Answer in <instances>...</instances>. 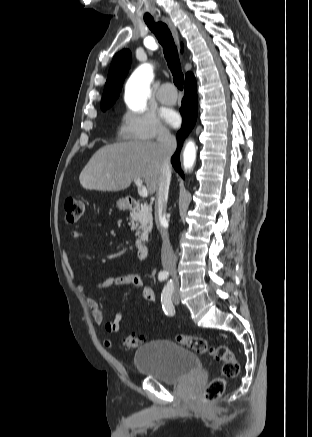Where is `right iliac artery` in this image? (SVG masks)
Instances as JSON below:
<instances>
[{
  "label": "right iliac artery",
  "mask_w": 312,
  "mask_h": 437,
  "mask_svg": "<svg viewBox=\"0 0 312 437\" xmlns=\"http://www.w3.org/2000/svg\"><path fill=\"white\" fill-rule=\"evenodd\" d=\"M158 278L160 281H165L168 278V274L161 273V274H159Z\"/></svg>",
  "instance_id": "right-iliac-artery-1"
}]
</instances>
